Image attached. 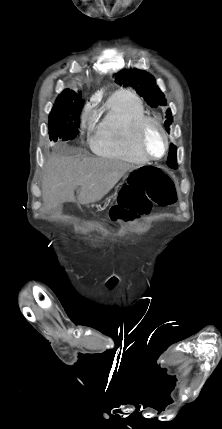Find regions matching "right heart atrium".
<instances>
[{
  "label": "right heart atrium",
  "mask_w": 222,
  "mask_h": 429,
  "mask_svg": "<svg viewBox=\"0 0 222 429\" xmlns=\"http://www.w3.org/2000/svg\"><path fill=\"white\" fill-rule=\"evenodd\" d=\"M95 122V115L93 112V106L87 105L81 115V128L91 129Z\"/></svg>",
  "instance_id": "right-heart-atrium-1"
}]
</instances>
